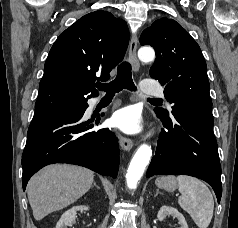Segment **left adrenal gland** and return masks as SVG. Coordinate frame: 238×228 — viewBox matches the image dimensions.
<instances>
[{"label": "left adrenal gland", "mask_w": 238, "mask_h": 228, "mask_svg": "<svg viewBox=\"0 0 238 228\" xmlns=\"http://www.w3.org/2000/svg\"><path fill=\"white\" fill-rule=\"evenodd\" d=\"M159 193H160L159 190H156V194H155V196H157Z\"/></svg>", "instance_id": "left-adrenal-gland-1"}]
</instances>
